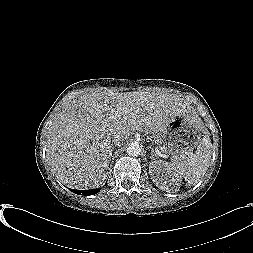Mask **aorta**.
I'll list each match as a JSON object with an SVG mask.
<instances>
[{
	"label": "aorta",
	"instance_id": "762f6f07",
	"mask_svg": "<svg viewBox=\"0 0 253 253\" xmlns=\"http://www.w3.org/2000/svg\"><path fill=\"white\" fill-rule=\"evenodd\" d=\"M127 153L129 156H138L141 153V148L139 146V144L137 143H131L128 147H127Z\"/></svg>",
	"mask_w": 253,
	"mask_h": 253
}]
</instances>
